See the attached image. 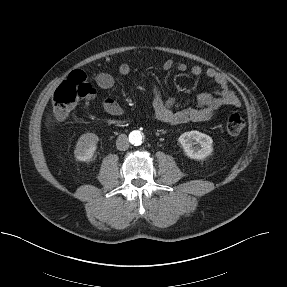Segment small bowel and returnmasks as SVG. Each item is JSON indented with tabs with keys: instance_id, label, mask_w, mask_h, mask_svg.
<instances>
[{
	"instance_id": "small-bowel-1",
	"label": "small bowel",
	"mask_w": 287,
	"mask_h": 287,
	"mask_svg": "<svg viewBox=\"0 0 287 287\" xmlns=\"http://www.w3.org/2000/svg\"><path fill=\"white\" fill-rule=\"evenodd\" d=\"M162 67L166 71L176 68L180 72H185L189 69L187 64L175 63L172 59L165 60ZM130 71L131 68L127 63L119 66V73L123 76L128 75ZM190 72L195 76L205 74L214 83L215 94H201L197 97L195 106L174 110L176 100L174 98L164 99L159 87L153 85V117L157 121L169 125L203 122L211 119L222 107L238 108L241 106L239 98L229 88L226 78L220 72L213 68L203 70L199 65L192 66ZM95 82L104 90L113 89L115 85L113 76L105 72L98 73L95 76ZM101 105L102 109L109 115L120 116L123 114L122 107L111 97H104Z\"/></svg>"
}]
</instances>
